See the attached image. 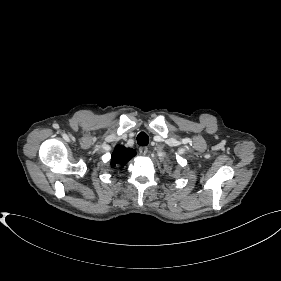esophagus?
<instances>
[{"mask_svg": "<svg viewBox=\"0 0 281 281\" xmlns=\"http://www.w3.org/2000/svg\"><path fill=\"white\" fill-rule=\"evenodd\" d=\"M148 152V148L147 147H140L139 148V153L142 155V156H145Z\"/></svg>", "mask_w": 281, "mask_h": 281, "instance_id": "obj_1", "label": "esophagus"}]
</instances>
